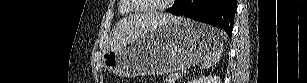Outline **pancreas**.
Returning a JSON list of instances; mask_svg holds the SVG:
<instances>
[{
	"instance_id": "cf45deb5",
	"label": "pancreas",
	"mask_w": 307,
	"mask_h": 83,
	"mask_svg": "<svg viewBox=\"0 0 307 83\" xmlns=\"http://www.w3.org/2000/svg\"><path fill=\"white\" fill-rule=\"evenodd\" d=\"M175 81H176L175 74H173V73L168 74V76L166 78V82L167 83H175Z\"/></svg>"
}]
</instances>
